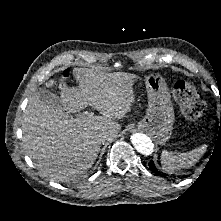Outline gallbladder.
Segmentation results:
<instances>
[{
  "label": "gallbladder",
  "instance_id": "obj_1",
  "mask_svg": "<svg viewBox=\"0 0 221 221\" xmlns=\"http://www.w3.org/2000/svg\"><path fill=\"white\" fill-rule=\"evenodd\" d=\"M36 93L39 95L41 101L49 107H55L57 109H63L59 96L48 91L45 88L37 89Z\"/></svg>",
  "mask_w": 221,
  "mask_h": 221
}]
</instances>
